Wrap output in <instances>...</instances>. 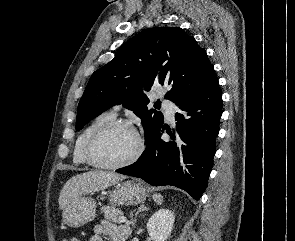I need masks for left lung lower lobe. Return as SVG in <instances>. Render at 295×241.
Masks as SVG:
<instances>
[{"mask_svg": "<svg viewBox=\"0 0 295 241\" xmlns=\"http://www.w3.org/2000/svg\"><path fill=\"white\" fill-rule=\"evenodd\" d=\"M176 129L161 126L141 157L116 172L138 177L153 186L172 185L198 200L205 191L216 152L215 140L222 115V94L216 75L176 102Z\"/></svg>", "mask_w": 295, "mask_h": 241, "instance_id": "1", "label": "left lung lower lobe"}]
</instances>
